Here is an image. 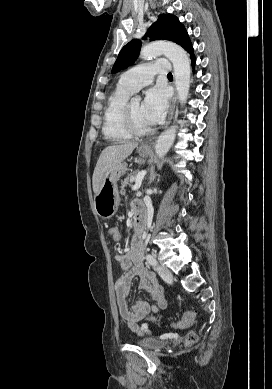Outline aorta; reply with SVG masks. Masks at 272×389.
Segmentation results:
<instances>
[{"label": "aorta", "mask_w": 272, "mask_h": 389, "mask_svg": "<svg viewBox=\"0 0 272 389\" xmlns=\"http://www.w3.org/2000/svg\"><path fill=\"white\" fill-rule=\"evenodd\" d=\"M164 54L173 64L175 85L178 99L181 104L185 103L190 89V60L186 51L171 42H153L142 47L140 57L150 59ZM139 101L140 97H136ZM177 132V126L173 125L164 131L157 139L155 152L159 158L164 157L172 146Z\"/></svg>", "instance_id": "obj_1"}]
</instances>
